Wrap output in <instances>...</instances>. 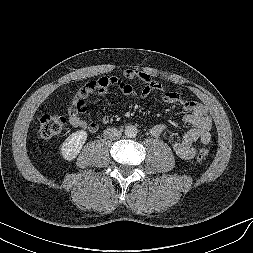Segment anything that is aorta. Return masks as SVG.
<instances>
[{
  "mask_svg": "<svg viewBox=\"0 0 253 253\" xmlns=\"http://www.w3.org/2000/svg\"><path fill=\"white\" fill-rule=\"evenodd\" d=\"M124 133L128 138H135L137 136L138 129L133 125H129L125 127Z\"/></svg>",
  "mask_w": 253,
  "mask_h": 253,
  "instance_id": "1",
  "label": "aorta"
}]
</instances>
